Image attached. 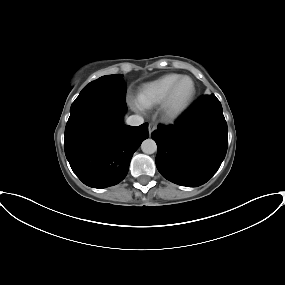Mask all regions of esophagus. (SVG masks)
I'll return each mask as SVG.
<instances>
[{
    "mask_svg": "<svg viewBox=\"0 0 285 285\" xmlns=\"http://www.w3.org/2000/svg\"><path fill=\"white\" fill-rule=\"evenodd\" d=\"M157 126L154 123L149 124V134H151L154 130H156Z\"/></svg>",
    "mask_w": 285,
    "mask_h": 285,
    "instance_id": "esophagus-1",
    "label": "esophagus"
}]
</instances>
